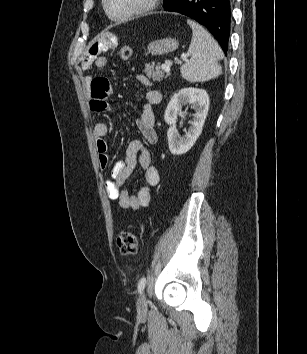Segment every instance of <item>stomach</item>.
Segmentation results:
<instances>
[{
    "mask_svg": "<svg viewBox=\"0 0 307 354\" xmlns=\"http://www.w3.org/2000/svg\"><path fill=\"white\" fill-rule=\"evenodd\" d=\"M179 46V43L174 38H163L154 40L149 43L147 47L148 53L151 55H164L175 51Z\"/></svg>",
    "mask_w": 307,
    "mask_h": 354,
    "instance_id": "0dacf381",
    "label": "stomach"
}]
</instances>
